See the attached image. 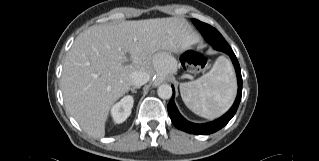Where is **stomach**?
I'll use <instances>...</instances> for the list:
<instances>
[{
	"instance_id": "stomach-1",
	"label": "stomach",
	"mask_w": 319,
	"mask_h": 161,
	"mask_svg": "<svg viewBox=\"0 0 319 161\" xmlns=\"http://www.w3.org/2000/svg\"><path fill=\"white\" fill-rule=\"evenodd\" d=\"M153 63L158 73L162 77H166L176 73L178 62L170 51H158L153 58Z\"/></svg>"
}]
</instances>
